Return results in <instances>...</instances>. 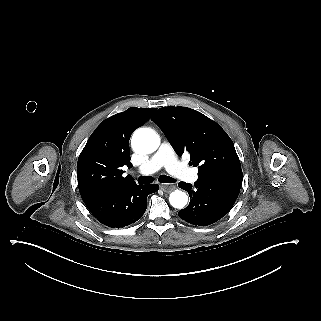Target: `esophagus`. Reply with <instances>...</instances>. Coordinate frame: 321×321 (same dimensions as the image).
Segmentation results:
<instances>
[{"label": "esophagus", "mask_w": 321, "mask_h": 321, "mask_svg": "<svg viewBox=\"0 0 321 321\" xmlns=\"http://www.w3.org/2000/svg\"><path fill=\"white\" fill-rule=\"evenodd\" d=\"M160 188L165 192V193H170L174 188L175 185L173 184H161Z\"/></svg>", "instance_id": "34e87169"}]
</instances>
